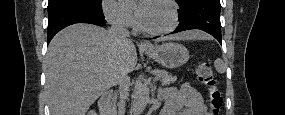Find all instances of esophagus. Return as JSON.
Masks as SVG:
<instances>
[{
  "mask_svg": "<svg viewBox=\"0 0 285 115\" xmlns=\"http://www.w3.org/2000/svg\"><path fill=\"white\" fill-rule=\"evenodd\" d=\"M139 46H140L141 48H146V47H149V44H148L147 42H141V43L139 44Z\"/></svg>",
  "mask_w": 285,
  "mask_h": 115,
  "instance_id": "obj_1",
  "label": "esophagus"
}]
</instances>
